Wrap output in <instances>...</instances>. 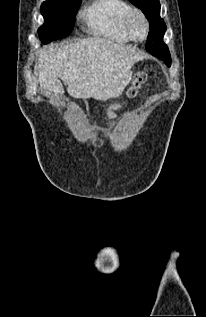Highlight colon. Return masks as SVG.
Returning <instances> with one entry per match:
<instances>
[{"label":"colon","instance_id":"1","mask_svg":"<svg viewBox=\"0 0 206 317\" xmlns=\"http://www.w3.org/2000/svg\"><path fill=\"white\" fill-rule=\"evenodd\" d=\"M146 80V74L144 71H137L133 77V80L131 82V85L129 86L127 90L128 96H133L139 89V87L145 82ZM119 109V105L113 104L110 106L109 115L113 117L115 115V112Z\"/></svg>","mask_w":206,"mask_h":317}]
</instances>
